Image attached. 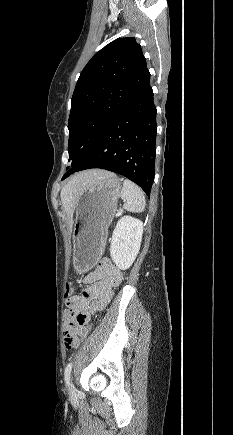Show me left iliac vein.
I'll return each instance as SVG.
<instances>
[{
	"label": "left iliac vein",
	"mask_w": 233,
	"mask_h": 435,
	"mask_svg": "<svg viewBox=\"0 0 233 435\" xmlns=\"http://www.w3.org/2000/svg\"><path fill=\"white\" fill-rule=\"evenodd\" d=\"M69 393L71 395L75 394V388L72 382L69 384Z\"/></svg>",
	"instance_id": "obj_1"
}]
</instances>
